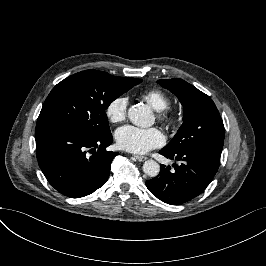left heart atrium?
I'll return each instance as SVG.
<instances>
[{
  "instance_id": "1",
  "label": "left heart atrium",
  "mask_w": 266,
  "mask_h": 266,
  "mask_svg": "<svg viewBox=\"0 0 266 266\" xmlns=\"http://www.w3.org/2000/svg\"><path fill=\"white\" fill-rule=\"evenodd\" d=\"M115 137L122 149L133 153L147 152L165 142L164 134L156 127L125 125L116 130Z\"/></svg>"
}]
</instances>
